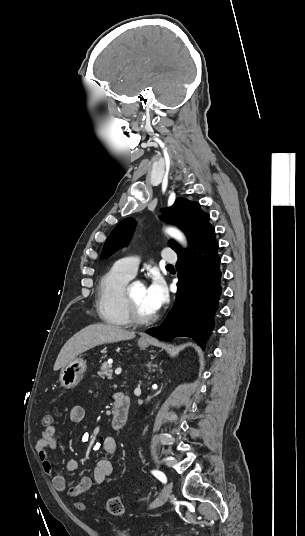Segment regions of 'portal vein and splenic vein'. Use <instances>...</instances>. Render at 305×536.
<instances>
[{
    "mask_svg": "<svg viewBox=\"0 0 305 536\" xmlns=\"http://www.w3.org/2000/svg\"><path fill=\"white\" fill-rule=\"evenodd\" d=\"M108 364H109V360H108ZM121 372H122V368H117V370H115V374H117V376L118 374H121Z\"/></svg>",
    "mask_w": 305,
    "mask_h": 536,
    "instance_id": "obj_1",
    "label": "portal vein and splenic vein"
}]
</instances>
